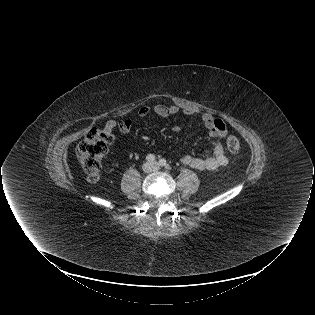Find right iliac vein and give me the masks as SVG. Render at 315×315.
I'll return each instance as SVG.
<instances>
[{
    "mask_svg": "<svg viewBox=\"0 0 315 315\" xmlns=\"http://www.w3.org/2000/svg\"><path fill=\"white\" fill-rule=\"evenodd\" d=\"M152 164L151 163H145L144 165H143V169H144V171H147V172H149V171H151L152 170Z\"/></svg>",
    "mask_w": 315,
    "mask_h": 315,
    "instance_id": "63e3f726",
    "label": "right iliac vein"
}]
</instances>
